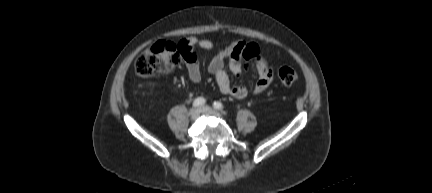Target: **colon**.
Returning a JSON list of instances; mask_svg holds the SVG:
<instances>
[{"instance_id":"1","label":"colon","mask_w":432,"mask_h":193,"mask_svg":"<svg viewBox=\"0 0 432 193\" xmlns=\"http://www.w3.org/2000/svg\"><path fill=\"white\" fill-rule=\"evenodd\" d=\"M181 63L178 46L167 41H159L146 49L135 62V71L141 76L171 73ZM283 85L290 86L298 79L297 72L290 67H281L277 72Z\"/></svg>"}]
</instances>
